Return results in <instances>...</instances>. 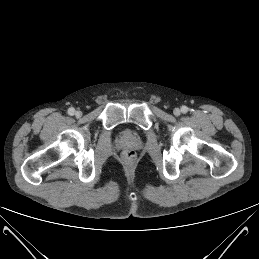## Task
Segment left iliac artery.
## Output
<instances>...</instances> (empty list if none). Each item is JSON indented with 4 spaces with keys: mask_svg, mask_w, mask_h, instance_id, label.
Listing matches in <instances>:
<instances>
[{
    "mask_svg": "<svg viewBox=\"0 0 259 259\" xmlns=\"http://www.w3.org/2000/svg\"><path fill=\"white\" fill-rule=\"evenodd\" d=\"M181 112L186 114L188 112V107L187 106H182L181 107Z\"/></svg>",
    "mask_w": 259,
    "mask_h": 259,
    "instance_id": "left-iliac-artery-1",
    "label": "left iliac artery"
}]
</instances>
